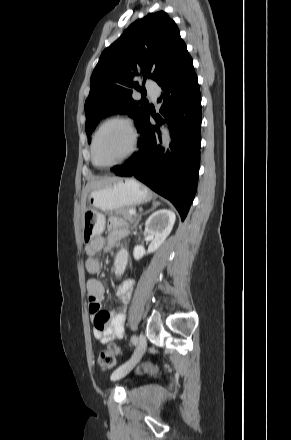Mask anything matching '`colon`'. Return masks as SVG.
Wrapping results in <instances>:
<instances>
[{"instance_id": "5ec220e1", "label": "colon", "mask_w": 291, "mask_h": 440, "mask_svg": "<svg viewBox=\"0 0 291 440\" xmlns=\"http://www.w3.org/2000/svg\"><path fill=\"white\" fill-rule=\"evenodd\" d=\"M103 322L107 323L105 319ZM122 350L117 343H111L107 350L102 351L98 357V363L103 370H108L114 366L115 356L120 355Z\"/></svg>"}]
</instances>
